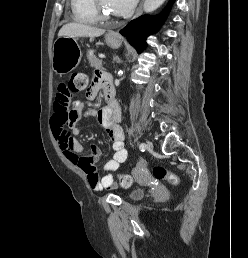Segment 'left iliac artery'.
<instances>
[{
	"label": "left iliac artery",
	"mask_w": 248,
	"mask_h": 258,
	"mask_svg": "<svg viewBox=\"0 0 248 258\" xmlns=\"http://www.w3.org/2000/svg\"><path fill=\"white\" fill-rule=\"evenodd\" d=\"M139 149H140L141 151H145V149H146V144H145V143H141V144L139 145Z\"/></svg>",
	"instance_id": "44dca946"
}]
</instances>
